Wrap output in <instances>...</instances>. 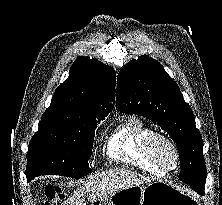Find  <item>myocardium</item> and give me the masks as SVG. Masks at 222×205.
I'll return each mask as SVG.
<instances>
[{"mask_svg": "<svg viewBox=\"0 0 222 205\" xmlns=\"http://www.w3.org/2000/svg\"><path fill=\"white\" fill-rule=\"evenodd\" d=\"M161 142L170 145L174 151L175 158H174V163L171 166H167L163 164L157 154L156 148H157V145ZM147 149H148V154L152 162L164 172H170L174 170L175 168H177L180 162V151L176 142L170 137H168L167 135H164L161 133H153L148 139Z\"/></svg>", "mask_w": 222, "mask_h": 205, "instance_id": "1", "label": "myocardium"}]
</instances>
